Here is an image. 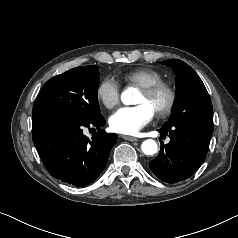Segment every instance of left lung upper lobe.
Here are the masks:
<instances>
[{"instance_id":"obj_1","label":"left lung upper lobe","mask_w":238,"mask_h":238,"mask_svg":"<svg viewBox=\"0 0 238 238\" xmlns=\"http://www.w3.org/2000/svg\"><path fill=\"white\" fill-rule=\"evenodd\" d=\"M176 73V101L172 115L163 127L183 124L213 130V108L198 74L178 59L160 61Z\"/></svg>"}]
</instances>
